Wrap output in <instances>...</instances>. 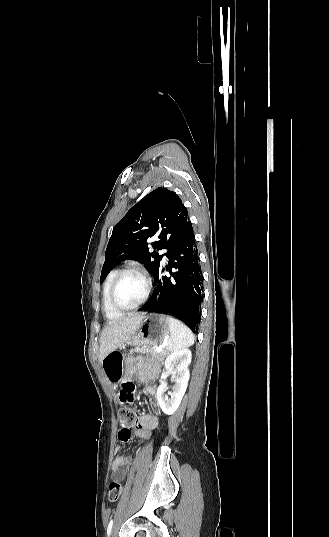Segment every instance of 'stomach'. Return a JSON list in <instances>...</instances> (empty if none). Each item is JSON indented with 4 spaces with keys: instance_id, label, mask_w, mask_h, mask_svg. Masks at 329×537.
Masks as SVG:
<instances>
[{
    "instance_id": "stomach-1",
    "label": "stomach",
    "mask_w": 329,
    "mask_h": 537,
    "mask_svg": "<svg viewBox=\"0 0 329 537\" xmlns=\"http://www.w3.org/2000/svg\"><path fill=\"white\" fill-rule=\"evenodd\" d=\"M170 335L169 317L157 313L144 314L138 329L131 337L133 345H159ZM122 354L112 351L101 361L102 369L112 384L122 379Z\"/></svg>"
}]
</instances>
